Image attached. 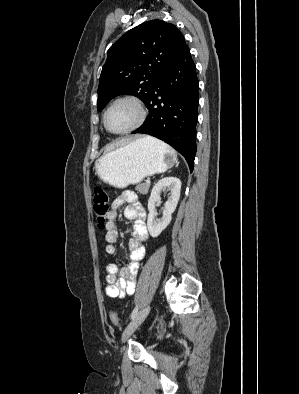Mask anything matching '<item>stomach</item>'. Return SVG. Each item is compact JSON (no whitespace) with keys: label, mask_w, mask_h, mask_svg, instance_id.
<instances>
[{"label":"stomach","mask_w":299,"mask_h":394,"mask_svg":"<svg viewBox=\"0 0 299 394\" xmlns=\"http://www.w3.org/2000/svg\"><path fill=\"white\" fill-rule=\"evenodd\" d=\"M176 154L151 137L136 139L106 152L94 165L98 177L112 186L124 188L145 177L163 173L176 163Z\"/></svg>","instance_id":"0dacf381"}]
</instances>
